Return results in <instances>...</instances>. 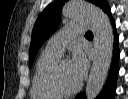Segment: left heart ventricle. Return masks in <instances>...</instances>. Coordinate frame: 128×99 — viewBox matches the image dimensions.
Listing matches in <instances>:
<instances>
[{
	"label": "left heart ventricle",
	"mask_w": 128,
	"mask_h": 99,
	"mask_svg": "<svg viewBox=\"0 0 128 99\" xmlns=\"http://www.w3.org/2000/svg\"><path fill=\"white\" fill-rule=\"evenodd\" d=\"M60 81L67 89L73 88L79 83L71 69V63L68 59H64L62 62L60 69Z\"/></svg>",
	"instance_id": "1"
}]
</instances>
